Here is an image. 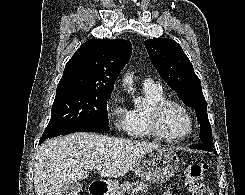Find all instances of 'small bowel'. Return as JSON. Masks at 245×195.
Returning a JSON list of instances; mask_svg holds the SVG:
<instances>
[{
  "mask_svg": "<svg viewBox=\"0 0 245 195\" xmlns=\"http://www.w3.org/2000/svg\"><path fill=\"white\" fill-rule=\"evenodd\" d=\"M161 195H171V194H170V192H165V193H163Z\"/></svg>",
  "mask_w": 245,
  "mask_h": 195,
  "instance_id": "obj_1",
  "label": "small bowel"
}]
</instances>
